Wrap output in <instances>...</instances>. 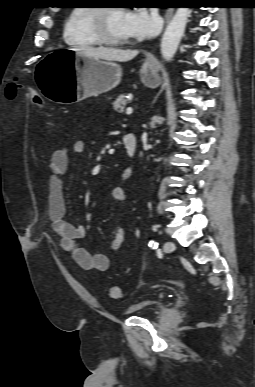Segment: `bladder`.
I'll return each instance as SVG.
<instances>
[{"mask_svg":"<svg viewBox=\"0 0 255 387\" xmlns=\"http://www.w3.org/2000/svg\"><path fill=\"white\" fill-rule=\"evenodd\" d=\"M165 303L161 299L145 300L129 306L125 313L130 316H148L159 312L163 309Z\"/></svg>","mask_w":255,"mask_h":387,"instance_id":"1","label":"bladder"}]
</instances>
